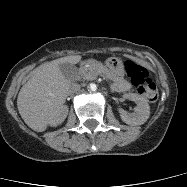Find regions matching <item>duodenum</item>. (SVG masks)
<instances>
[{"label":"duodenum","mask_w":187,"mask_h":187,"mask_svg":"<svg viewBox=\"0 0 187 187\" xmlns=\"http://www.w3.org/2000/svg\"><path fill=\"white\" fill-rule=\"evenodd\" d=\"M84 63H86L85 60L81 61V62L79 63V65H83Z\"/></svg>","instance_id":"duodenum-1"}]
</instances>
